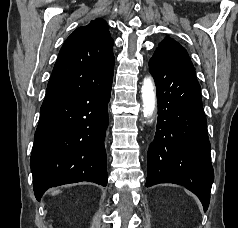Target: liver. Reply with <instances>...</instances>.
Here are the masks:
<instances>
[{"label": "liver", "mask_w": 238, "mask_h": 228, "mask_svg": "<svg viewBox=\"0 0 238 228\" xmlns=\"http://www.w3.org/2000/svg\"><path fill=\"white\" fill-rule=\"evenodd\" d=\"M60 191L59 190H55L52 192V195L58 194Z\"/></svg>", "instance_id": "liver-1"}]
</instances>
